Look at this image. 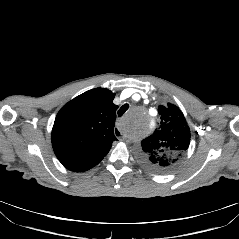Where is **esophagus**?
Returning a JSON list of instances; mask_svg holds the SVG:
<instances>
[{
	"instance_id": "1",
	"label": "esophagus",
	"mask_w": 239,
	"mask_h": 239,
	"mask_svg": "<svg viewBox=\"0 0 239 239\" xmlns=\"http://www.w3.org/2000/svg\"><path fill=\"white\" fill-rule=\"evenodd\" d=\"M114 135L119 139V140H124L125 135L121 132V130L118 127H115L113 129Z\"/></svg>"
}]
</instances>
